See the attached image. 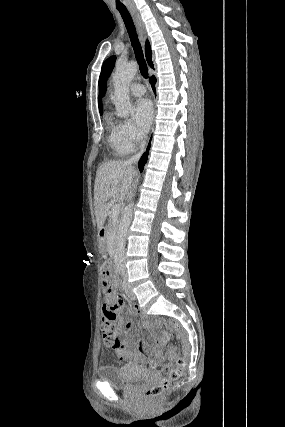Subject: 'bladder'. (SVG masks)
Segmentation results:
<instances>
[{
	"label": "bladder",
	"instance_id": "1",
	"mask_svg": "<svg viewBox=\"0 0 285 427\" xmlns=\"http://www.w3.org/2000/svg\"><path fill=\"white\" fill-rule=\"evenodd\" d=\"M97 375L100 381L105 382L113 387L130 389L140 380L149 377L151 374L146 370L134 365H108L99 368Z\"/></svg>",
	"mask_w": 285,
	"mask_h": 427
}]
</instances>
